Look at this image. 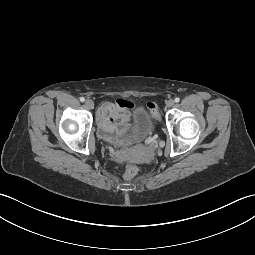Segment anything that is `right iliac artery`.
<instances>
[{
    "instance_id": "right-iliac-artery-1",
    "label": "right iliac artery",
    "mask_w": 255,
    "mask_h": 255,
    "mask_svg": "<svg viewBox=\"0 0 255 255\" xmlns=\"http://www.w3.org/2000/svg\"><path fill=\"white\" fill-rule=\"evenodd\" d=\"M80 101H81V102H84V101H85V98H84V97H80Z\"/></svg>"
}]
</instances>
